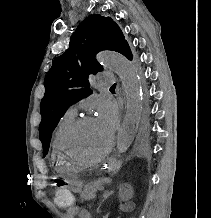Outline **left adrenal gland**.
Returning <instances> with one entry per match:
<instances>
[{"mask_svg": "<svg viewBox=\"0 0 211 218\" xmlns=\"http://www.w3.org/2000/svg\"><path fill=\"white\" fill-rule=\"evenodd\" d=\"M112 194H113L112 190H110V192H109V190H106V192H104V194H103L102 202H105V200H108L109 196H112ZM102 202H100V204L97 208V212H99V208H101Z\"/></svg>", "mask_w": 211, "mask_h": 218, "instance_id": "a2214340", "label": "left adrenal gland"}]
</instances>
